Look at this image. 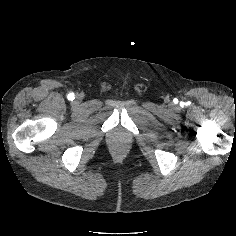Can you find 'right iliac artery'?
<instances>
[{
  "label": "right iliac artery",
  "mask_w": 236,
  "mask_h": 236,
  "mask_svg": "<svg viewBox=\"0 0 236 236\" xmlns=\"http://www.w3.org/2000/svg\"><path fill=\"white\" fill-rule=\"evenodd\" d=\"M68 98H69L70 100H73V99H74V94H73V93H70V94L68 95Z\"/></svg>",
  "instance_id": "obj_1"
}]
</instances>
